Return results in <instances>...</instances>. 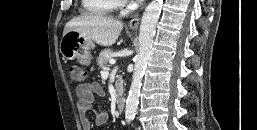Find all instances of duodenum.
<instances>
[{"label":"duodenum","mask_w":257,"mask_h":130,"mask_svg":"<svg viewBox=\"0 0 257 130\" xmlns=\"http://www.w3.org/2000/svg\"><path fill=\"white\" fill-rule=\"evenodd\" d=\"M117 110L119 112H123L125 109V98L123 96H119L116 101Z\"/></svg>","instance_id":"410a0bca"}]
</instances>
